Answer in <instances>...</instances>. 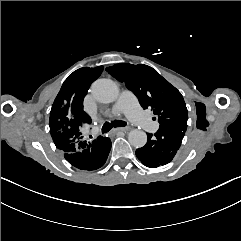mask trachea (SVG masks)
<instances>
[{
  "mask_svg": "<svg viewBox=\"0 0 241 241\" xmlns=\"http://www.w3.org/2000/svg\"><path fill=\"white\" fill-rule=\"evenodd\" d=\"M122 126H127V123L120 120H116L113 123L106 122L104 123L101 132L102 134H105L109 132L112 129V127H122Z\"/></svg>",
  "mask_w": 241,
  "mask_h": 241,
  "instance_id": "1",
  "label": "trachea"
}]
</instances>
